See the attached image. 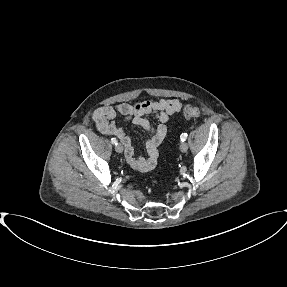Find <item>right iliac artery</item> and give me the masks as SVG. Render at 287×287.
<instances>
[{"instance_id": "1", "label": "right iliac artery", "mask_w": 287, "mask_h": 287, "mask_svg": "<svg viewBox=\"0 0 287 287\" xmlns=\"http://www.w3.org/2000/svg\"><path fill=\"white\" fill-rule=\"evenodd\" d=\"M111 142H112V144H114V145H117L118 143H117V140L115 139V138H112L111 139Z\"/></svg>"}]
</instances>
